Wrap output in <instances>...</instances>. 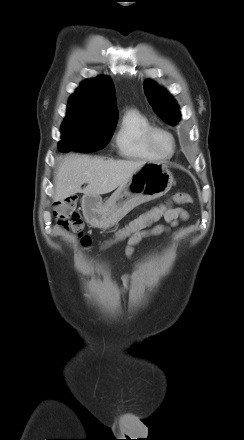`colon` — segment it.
<instances>
[{
	"label": "colon",
	"mask_w": 244,
	"mask_h": 440,
	"mask_svg": "<svg viewBox=\"0 0 244 440\" xmlns=\"http://www.w3.org/2000/svg\"><path fill=\"white\" fill-rule=\"evenodd\" d=\"M172 202L176 204H188L192 198L187 193H176L172 197ZM168 205H158L152 209L141 213L139 216L128 222L115 232V234L105 242L104 247H111L125 239H128L137 232L143 231L157 222L168 210ZM55 216L60 226L66 230L77 233L84 246L90 244V238L82 233L83 223L77 210V200L70 197L56 204Z\"/></svg>",
	"instance_id": "obj_1"
}]
</instances>
